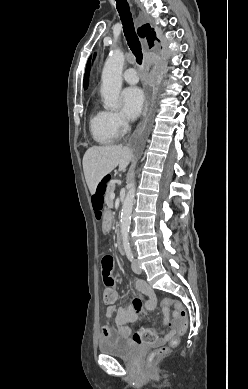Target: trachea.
Returning a JSON list of instances; mask_svg holds the SVG:
<instances>
[{
  "instance_id": "1",
  "label": "trachea",
  "mask_w": 248,
  "mask_h": 389,
  "mask_svg": "<svg viewBox=\"0 0 248 389\" xmlns=\"http://www.w3.org/2000/svg\"><path fill=\"white\" fill-rule=\"evenodd\" d=\"M116 2H117L116 8L119 12V16L122 21L124 35L126 37V40L128 42V45L132 53L136 58L137 63L141 65L143 60L141 45L135 33L129 4L127 3L126 0H116Z\"/></svg>"
}]
</instances>
